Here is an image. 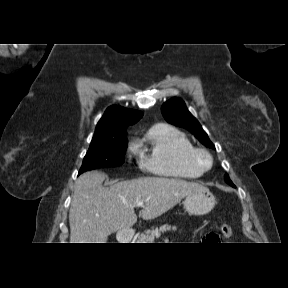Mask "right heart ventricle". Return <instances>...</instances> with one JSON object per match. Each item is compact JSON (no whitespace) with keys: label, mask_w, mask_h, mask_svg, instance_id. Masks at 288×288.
Wrapping results in <instances>:
<instances>
[{"label":"right heart ventricle","mask_w":288,"mask_h":288,"mask_svg":"<svg viewBox=\"0 0 288 288\" xmlns=\"http://www.w3.org/2000/svg\"><path fill=\"white\" fill-rule=\"evenodd\" d=\"M142 166L152 174L197 179L204 171L194 166L190 154L194 146L186 135L168 124L153 125L138 143Z\"/></svg>","instance_id":"e07e8e85"}]
</instances>
